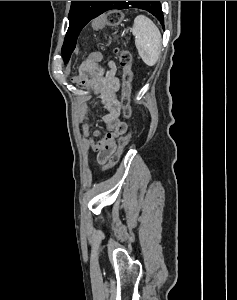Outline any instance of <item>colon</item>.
<instances>
[{
	"label": "colon",
	"instance_id": "1",
	"mask_svg": "<svg viewBox=\"0 0 237 300\" xmlns=\"http://www.w3.org/2000/svg\"><path fill=\"white\" fill-rule=\"evenodd\" d=\"M123 12L118 9H113L105 12L101 16L94 19L92 26L95 30H100L104 27L116 28L123 22ZM118 60L123 71L122 76V91H121V106L123 115L127 120L131 119L132 110L130 106V95L132 91L133 72H132V55L128 50H118ZM102 61V56L98 53L90 54L85 63L98 65ZM131 131L121 137L118 141L117 148L109 158V162L105 170H110L117 165L120 160L124 148L128 145L131 139Z\"/></svg>",
	"mask_w": 237,
	"mask_h": 300
}]
</instances>
